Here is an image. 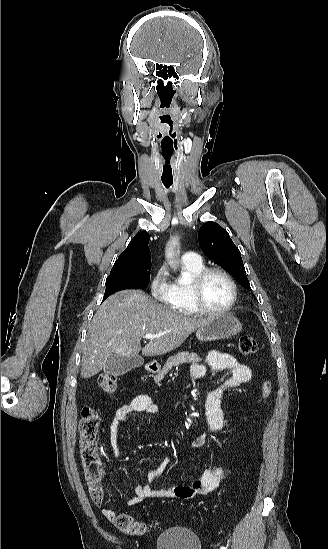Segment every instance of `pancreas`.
I'll use <instances>...</instances> for the list:
<instances>
[{
	"label": "pancreas",
	"mask_w": 328,
	"mask_h": 549,
	"mask_svg": "<svg viewBox=\"0 0 328 549\" xmlns=\"http://www.w3.org/2000/svg\"><path fill=\"white\" fill-rule=\"evenodd\" d=\"M199 361H202V359H200L196 353H188V351L178 353V355H174V357H169L158 375H155V381H157V383L162 381L168 371H171L172 367H177V365H181V363H199Z\"/></svg>",
	"instance_id": "1"
}]
</instances>
